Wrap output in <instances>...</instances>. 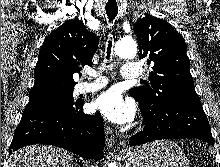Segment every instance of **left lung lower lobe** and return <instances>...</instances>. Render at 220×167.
Returning <instances> with one entry per match:
<instances>
[{
  "label": "left lung lower lobe",
  "mask_w": 220,
  "mask_h": 167,
  "mask_svg": "<svg viewBox=\"0 0 220 167\" xmlns=\"http://www.w3.org/2000/svg\"><path fill=\"white\" fill-rule=\"evenodd\" d=\"M139 104L145 128L130 138V146L174 138H195L214 146L209 122L199 99L168 96L153 108Z\"/></svg>",
  "instance_id": "0a47b994"
}]
</instances>
